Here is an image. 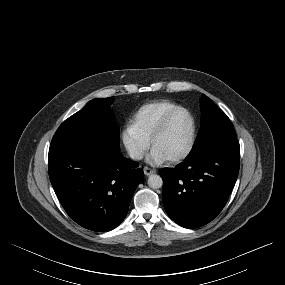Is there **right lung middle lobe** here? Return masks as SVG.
I'll return each mask as SVG.
<instances>
[{"label": "right lung middle lobe", "mask_w": 285, "mask_h": 285, "mask_svg": "<svg viewBox=\"0 0 285 285\" xmlns=\"http://www.w3.org/2000/svg\"><path fill=\"white\" fill-rule=\"evenodd\" d=\"M112 102L110 97L88 102L60 125L51 141V148L67 144H91L119 151V126L109 107Z\"/></svg>", "instance_id": "right-lung-middle-lobe-1"}]
</instances>
